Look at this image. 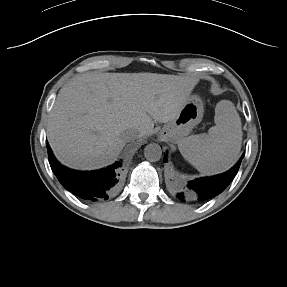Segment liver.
<instances>
[{"mask_svg":"<svg viewBox=\"0 0 287 287\" xmlns=\"http://www.w3.org/2000/svg\"><path fill=\"white\" fill-rule=\"evenodd\" d=\"M198 79L162 74L87 72L62 87L49 114L47 137L57 159L78 170L112 164L128 129L149 135L152 119L174 120ZM142 137V136H141Z\"/></svg>","mask_w":287,"mask_h":287,"instance_id":"6515ba94","label":"liver"}]
</instances>
